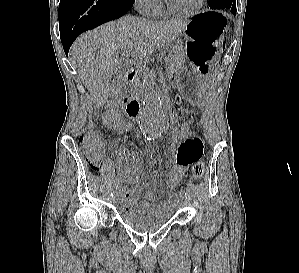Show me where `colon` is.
Instances as JSON below:
<instances>
[{"instance_id": "1", "label": "colon", "mask_w": 299, "mask_h": 273, "mask_svg": "<svg viewBox=\"0 0 299 273\" xmlns=\"http://www.w3.org/2000/svg\"><path fill=\"white\" fill-rule=\"evenodd\" d=\"M192 120L193 116L189 115L185 120L178 124L175 135L176 143H181L192 135ZM80 142L89 167L92 170L99 172L101 169V154L104 148L103 141L95 132L88 129L80 135ZM204 173L205 164L203 162H196L192 167V178L198 180Z\"/></svg>"}]
</instances>
